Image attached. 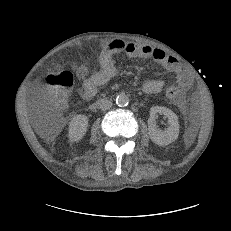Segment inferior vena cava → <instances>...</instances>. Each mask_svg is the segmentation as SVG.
I'll list each match as a JSON object with an SVG mask.
<instances>
[{
  "mask_svg": "<svg viewBox=\"0 0 231 231\" xmlns=\"http://www.w3.org/2000/svg\"><path fill=\"white\" fill-rule=\"evenodd\" d=\"M98 104L102 111L108 110L112 107V101L108 99H101Z\"/></svg>",
  "mask_w": 231,
  "mask_h": 231,
  "instance_id": "1",
  "label": "inferior vena cava"
}]
</instances>
